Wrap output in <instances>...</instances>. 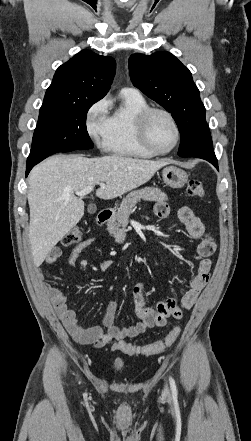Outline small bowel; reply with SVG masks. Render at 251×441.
Masks as SVG:
<instances>
[{
  "instance_id": "small-bowel-1",
  "label": "small bowel",
  "mask_w": 251,
  "mask_h": 441,
  "mask_svg": "<svg viewBox=\"0 0 251 441\" xmlns=\"http://www.w3.org/2000/svg\"><path fill=\"white\" fill-rule=\"evenodd\" d=\"M154 212L158 218L163 219L169 215V207L165 202L160 201L156 203ZM177 217L185 225L191 237L200 239L196 247V253L200 258L196 265V274L190 279L180 303L169 298L158 302L155 306H146L144 286L142 283H136L132 287V297L137 308V315L140 318L138 323L129 327L115 325L118 305L112 300L107 305L103 326L82 327L78 324L75 311L68 306L66 293L50 282L45 283L44 287L49 299L67 332L76 342L99 348L110 341L120 342L124 338L137 337L149 328L166 326L169 317L182 318L185 311L193 307L200 292L209 281L212 266L210 256L216 250V242L212 236L206 233L204 224L190 207H180L177 211ZM92 243L93 239H86L77 244L69 254V265L74 266L80 254ZM60 255L61 250L55 247L50 251L44 263L53 264ZM113 265L112 260H105L99 265V271L105 272ZM39 277L43 279L42 272L39 273Z\"/></svg>"
}]
</instances>
